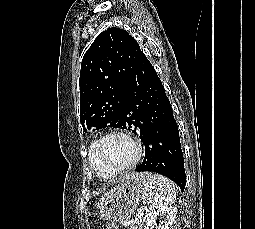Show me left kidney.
<instances>
[{"label": "left kidney", "instance_id": "5707ae66", "mask_svg": "<svg viewBox=\"0 0 255 229\" xmlns=\"http://www.w3.org/2000/svg\"><path fill=\"white\" fill-rule=\"evenodd\" d=\"M177 214V208L174 206L163 207L157 210H153L146 217L145 229L149 227H157L159 229H170L175 221ZM162 218L163 220L157 225V219Z\"/></svg>", "mask_w": 255, "mask_h": 229}]
</instances>
